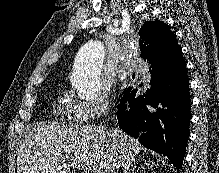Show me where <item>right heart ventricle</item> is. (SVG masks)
Wrapping results in <instances>:
<instances>
[{"label":"right heart ventricle","instance_id":"right-heart-ventricle-1","mask_svg":"<svg viewBox=\"0 0 219 173\" xmlns=\"http://www.w3.org/2000/svg\"><path fill=\"white\" fill-rule=\"evenodd\" d=\"M54 110L59 117L69 119L72 114V105L64 99H59Z\"/></svg>","mask_w":219,"mask_h":173}]
</instances>
